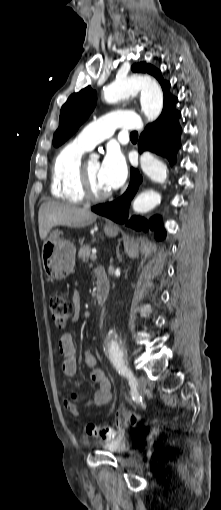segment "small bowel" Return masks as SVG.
<instances>
[{
	"label": "small bowel",
	"instance_id": "1",
	"mask_svg": "<svg viewBox=\"0 0 221 510\" xmlns=\"http://www.w3.org/2000/svg\"><path fill=\"white\" fill-rule=\"evenodd\" d=\"M73 305V321H76L78 319L80 310V297L78 292H75L73 295ZM58 348L62 355V372L67 376L74 375L77 371V357L75 342L72 334H62L58 341ZM83 357L85 364L91 369V379L98 384V388L95 391L93 398L83 405L80 404L78 395L73 392L64 399L65 408L75 416L79 415L81 407L84 409H90L92 407H98L107 404L113 394L112 382L105 371L97 366L94 352L91 349H87L85 350ZM115 423L119 431L123 430V428L126 426V422L124 421L123 417L118 415L117 412Z\"/></svg>",
	"mask_w": 221,
	"mask_h": 510
}]
</instances>
